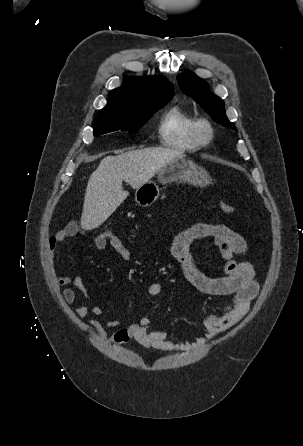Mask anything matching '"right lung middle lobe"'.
Returning <instances> with one entry per match:
<instances>
[{
  "label": "right lung middle lobe",
  "mask_w": 303,
  "mask_h": 446,
  "mask_svg": "<svg viewBox=\"0 0 303 446\" xmlns=\"http://www.w3.org/2000/svg\"><path fill=\"white\" fill-rule=\"evenodd\" d=\"M166 104H159L143 112H126L102 109L95 117L94 135L99 136L121 129L134 132L141 128L150 116Z\"/></svg>",
  "instance_id": "1"
}]
</instances>
